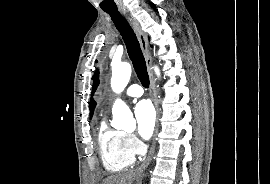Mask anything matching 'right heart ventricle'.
Masks as SVG:
<instances>
[{
  "label": "right heart ventricle",
  "mask_w": 270,
  "mask_h": 184,
  "mask_svg": "<svg viewBox=\"0 0 270 184\" xmlns=\"http://www.w3.org/2000/svg\"><path fill=\"white\" fill-rule=\"evenodd\" d=\"M99 152L104 167L110 172L126 169L135 161V152L129 147L126 134L110 127L102 119L97 134Z\"/></svg>",
  "instance_id": "right-heart-ventricle-1"
}]
</instances>
